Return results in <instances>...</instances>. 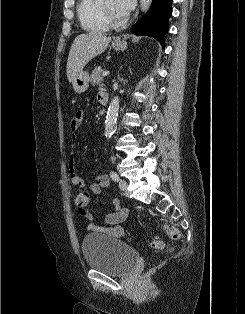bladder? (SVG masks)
Returning a JSON list of instances; mask_svg holds the SVG:
<instances>
[{"label":"bladder","instance_id":"bladder-1","mask_svg":"<svg viewBox=\"0 0 245 314\" xmlns=\"http://www.w3.org/2000/svg\"><path fill=\"white\" fill-rule=\"evenodd\" d=\"M82 253L87 266L111 275L126 273L138 258L129 245L101 234L85 235Z\"/></svg>","mask_w":245,"mask_h":314}]
</instances>
